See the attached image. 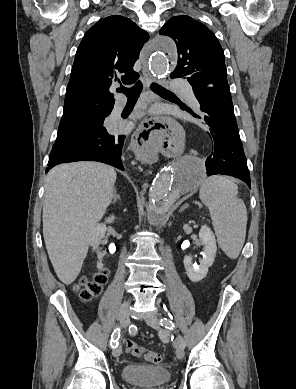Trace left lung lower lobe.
<instances>
[{
  "label": "left lung lower lobe",
  "mask_w": 296,
  "mask_h": 389,
  "mask_svg": "<svg viewBox=\"0 0 296 389\" xmlns=\"http://www.w3.org/2000/svg\"><path fill=\"white\" fill-rule=\"evenodd\" d=\"M205 114L212 150L206 160L207 174L231 175L251 188L250 175L234 115L229 85L193 88ZM200 118V117H199Z\"/></svg>",
  "instance_id": "left-lung-lower-lobe-1"
}]
</instances>
